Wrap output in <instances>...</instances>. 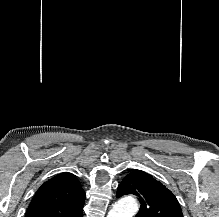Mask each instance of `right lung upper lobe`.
<instances>
[{"label": "right lung upper lobe", "mask_w": 219, "mask_h": 217, "mask_svg": "<svg viewBox=\"0 0 219 217\" xmlns=\"http://www.w3.org/2000/svg\"><path fill=\"white\" fill-rule=\"evenodd\" d=\"M85 192L76 176L63 172L44 182L25 217H82Z\"/></svg>", "instance_id": "1"}]
</instances>
